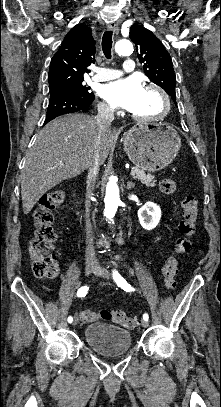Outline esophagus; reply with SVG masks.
I'll use <instances>...</instances> for the list:
<instances>
[{
  "label": "esophagus",
  "mask_w": 221,
  "mask_h": 407,
  "mask_svg": "<svg viewBox=\"0 0 221 407\" xmlns=\"http://www.w3.org/2000/svg\"><path fill=\"white\" fill-rule=\"evenodd\" d=\"M108 29L111 30V31H113L114 33H118V32H119L118 23H117V22H111V23L108 25Z\"/></svg>",
  "instance_id": "esophagus-1"
}]
</instances>
